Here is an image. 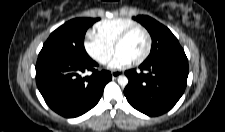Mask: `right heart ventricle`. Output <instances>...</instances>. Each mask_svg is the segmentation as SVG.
<instances>
[{
	"label": "right heart ventricle",
	"mask_w": 225,
	"mask_h": 132,
	"mask_svg": "<svg viewBox=\"0 0 225 132\" xmlns=\"http://www.w3.org/2000/svg\"><path fill=\"white\" fill-rule=\"evenodd\" d=\"M134 25L137 23L128 18L103 20L95 25L94 34L99 40L113 47L118 36Z\"/></svg>",
	"instance_id": "right-heart-ventricle-1"
}]
</instances>
